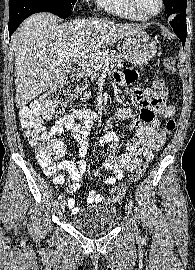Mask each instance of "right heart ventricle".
Here are the masks:
<instances>
[{"mask_svg": "<svg viewBox=\"0 0 195 270\" xmlns=\"http://www.w3.org/2000/svg\"><path fill=\"white\" fill-rule=\"evenodd\" d=\"M98 3L107 12L120 18L134 21L145 20L131 8L128 0H98Z\"/></svg>", "mask_w": 195, "mask_h": 270, "instance_id": "e07e8e85", "label": "right heart ventricle"}]
</instances>
